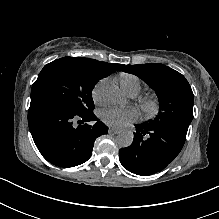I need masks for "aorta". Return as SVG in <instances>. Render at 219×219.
<instances>
[{"mask_svg": "<svg viewBox=\"0 0 219 219\" xmlns=\"http://www.w3.org/2000/svg\"><path fill=\"white\" fill-rule=\"evenodd\" d=\"M104 97L107 103L111 105L122 106L126 103V99L119 92L117 87L108 86L104 89ZM133 142V133L130 131H122L117 136V143L119 146L125 148L129 147Z\"/></svg>", "mask_w": 219, "mask_h": 219, "instance_id": "obj_1", "label": "aorta"}]
</instances>
